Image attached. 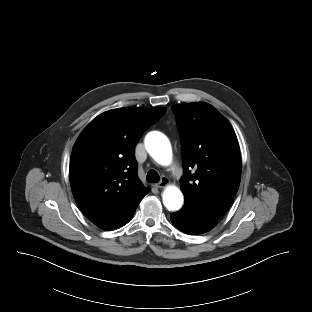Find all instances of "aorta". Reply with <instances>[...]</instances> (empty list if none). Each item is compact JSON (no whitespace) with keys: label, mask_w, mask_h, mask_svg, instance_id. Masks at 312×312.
<instances>
[{"label":"aorta","mask_w":312,"mask_h":312,"mask_svg":"<svg viewBox=\"0 0 312 312\" xmlns=\"http://www.w3.org/2000/svg\"><path fill=\"white\" fill-rule=\"evenodd\" d=\"M145 147L150 156L161 165H168L172 159V148L168 138L160 132H150L145 138ZM182 192L169 186L163 193V203L168 210H179L183 204Z\"/></svg>","instance_id":"obj_1"}]
</instances>
